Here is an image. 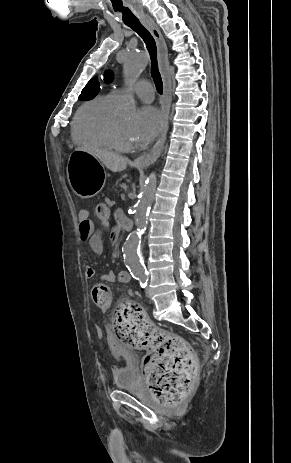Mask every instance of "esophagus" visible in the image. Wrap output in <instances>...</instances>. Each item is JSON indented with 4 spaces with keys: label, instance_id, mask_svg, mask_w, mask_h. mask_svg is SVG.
Returning <instances> with one entry per match:
<instances>
[{
    "label": "esophagus",
    "instance_id": "esophagus-1",
    "mask_svg": "<svg viewBox=\"0 0 291 463\" xmlns=\"http://www.w3.org/2000/svg\"><path fill=\"white\" fill-rule=\"evenodd\" d=\"M142 23L148 28V30L151 32L153 35L157 47H158V60H159V67L162 72V77H163V82H164V92H163V98H162V105H161V110H162V117H163V128L161 130V134L157 140V142L154 144L152 149L140 157L136 158L134 160V163L142 166V167H147L151 164H153L158 157L160 156L164 143L166 140V135L168 131V114H169V107H170V95H171V79H170V74L168 71L169 68V62H168V57H167V47L165 40L162 36V33L154 20L151 17H143L142 18Z\"/></svg>",
    "mask_w": 291,
    "mask_h": 463
}]
</instances>
